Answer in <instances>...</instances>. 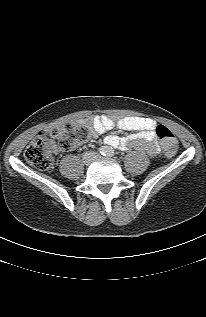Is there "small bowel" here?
I'll use <instances>...</instances> for the list:
<instances>
[{"label":"small bowel","instance_id":"c3829d8e","mask_svg":"<svg viewBox=\"0 0 206 317\" xmlns=\"http://www.w3.org/2000/svg\"><path fill=\"white\" fill-rule=\"evenodd\" d=\"M79 124L88 127L93 134H101L112 129L132 131V134L125 137L108 135L105 137V143L121 150H142L150 155H156L159 152L155 132L156 122L151 118L124 117L113 119L108 116H95L81 120ZM52 151H57L54 144H52Z\"/></svg>","mask_w":206,"mask_h":317}]
</instances>
